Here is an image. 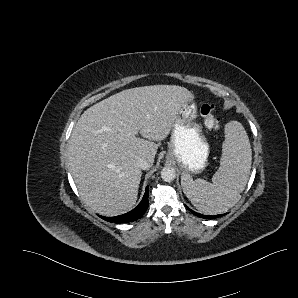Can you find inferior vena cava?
<instances>
[{
  "instance_id": "1",
  "label": "inferior vena cava",
  "mask_w": 298,
  "mask_h": 298,
  "mask_svg": "<svg viewBox=\"0 0 298 298\" xmlns=\"http://www.w3.org/2000/svg\"><path fill=\"white\" fill-rule=\"evenodd\" d=\"M136 166L143 170H148L152 167V163L147 161L145 158H139L136 162Z\"/></svg>"
}]
</instances>
